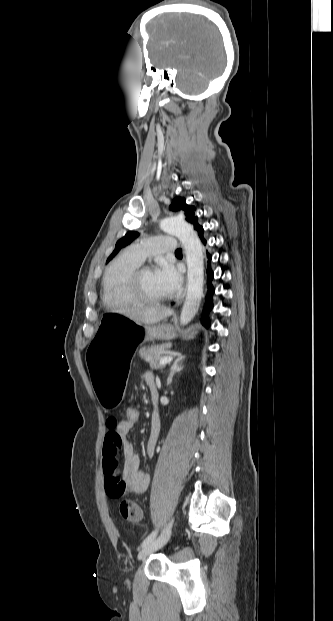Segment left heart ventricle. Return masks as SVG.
Returning a JSON list of instances; mask_svg holds the SVG:
<instances>
[{"label": "left heart ventricle", "mask_w": 333, "mask_h": 621, "mask_svg": "<svg viewBox=\"0 0 333 621\" xmlns=\"http://www.w3.org/2000/svg\"><path fill=\"white\" fill-rule=\"evenodd\" d=\"M140 285L142 291L150 297L160 298L167 296L166 290L157 279L155 271L153 270L147 271L142 274L140 279Z\"/></svg>", "instance_id": "left-heart-ventricle-1"}]
</instances>
